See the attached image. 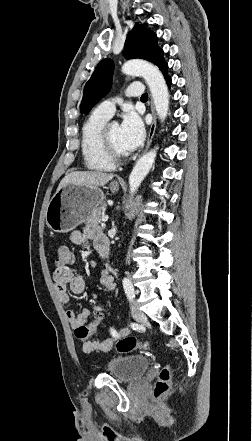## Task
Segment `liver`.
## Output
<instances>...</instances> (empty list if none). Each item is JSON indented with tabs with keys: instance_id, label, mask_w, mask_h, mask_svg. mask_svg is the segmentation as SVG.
Instances as JSON below:
<instances>
[{
	"instance_id": "obj_1",
	"label": "liver",
	"mask_w": 252,
	"mask_h": 441,
	"mask_svg": "<svg viewBox=\"0 0 252 441\" xmlns=\"http://www.w3.org/2000/svg\"><path fill=\"white\" fill-rule=\"evenodd\" d=\"M114 175L99 171H74L67 174L60 182L58 189L68 184H75L87 187H99L107 184Z\"/></svg>"
}]
</instances>
